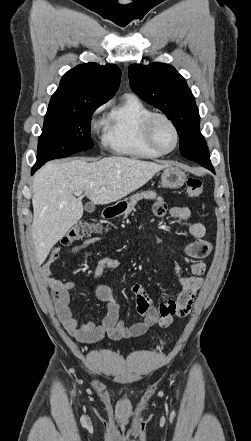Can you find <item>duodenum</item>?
<instances>
[{
    "mask_svg": "<svg viewBox=\"0 0 251 441\" xmlns=\"http://www.w3.org/2000/svg\"><path fill=\"white\" fill-rule=\"evenodd\" d=\"M118 214H119V210L117 209V207H110L104 211L105 218H113Z\"/></svg>",
    "mask_w": 251,
    "mask_h": 441,
    "instance_id": "410a0bca",
    "label": "duodenum"
}]
</instances>
